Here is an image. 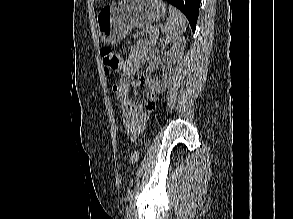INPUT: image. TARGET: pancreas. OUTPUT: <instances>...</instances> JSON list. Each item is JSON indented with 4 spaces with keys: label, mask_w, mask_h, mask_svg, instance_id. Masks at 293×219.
I'll list each match as a JSON object with an SVG mask.
<instances>
[{
    "label": "pancreas",
    "mask_w": 293,
    "mask_h": 219,
    "mask_svg": "<svg viewBox=\"0 0 293 219\" xmlns=\"http://www.w3.org/2000/svg\"><path fill=\"white\" fill-rule=\"evenodd\" d=\"M137 35H146L149 37L152 43H155L156 39L159 36V29L157 26H147L140 34L137 33Z\"/></svg>",
    "instance_id": "cf45deb5"
}]
</instances>
